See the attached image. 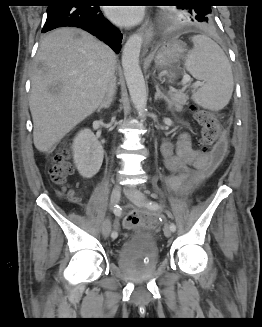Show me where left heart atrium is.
I'll return each instance as SVG.
<instances>
[{"label": "left heart atrium", "mask_w": 262, "mask_h": 327, "mask_svg": "<svg viewBox=\"0 0 262 327\" xmlns=\"http://www.w3.org/2000/svg\"><path fill=\"white\" fill-rule=\"evenodd\" d=\"M109 18L119 25H134L143 16L141 8L138 7H110L107 10Z\"/></svg>", "instance_id": "obj_1"}]
</instances>
